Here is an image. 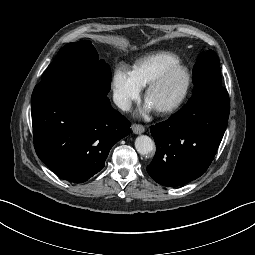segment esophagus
Instances as JSON below:
<instances>
[{
    "mask_svg": "<svg viewBox=\"0 0 255 255\" xmlns=\"http://www.w3.org/2000/svg\"><path fill=\"white\" fill-rule=\"evenodd\" d=\"M131 128L135 134H141L145 131V127L140 124H133Z\"/></svg>",
    "mask_w": 255,
    "mask_h": 255,
    "instance_id": "obj_1",
    "label": "esophagus"
}]
</instances>
